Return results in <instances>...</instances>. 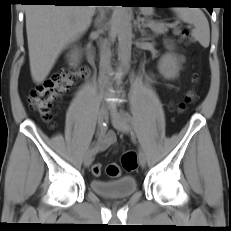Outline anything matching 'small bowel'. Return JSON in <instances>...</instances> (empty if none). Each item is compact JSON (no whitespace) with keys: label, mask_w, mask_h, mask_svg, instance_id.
I'll return each instance as SVG.
<instances>
[{"label":"small bowel","mask_w":231,"mask_h":231,"mask_svg":"<svg viewBox=\"0 0 231 231\" xmlns=\"http://www.w3.org/2000/svg\"><path fill=\"white\" fill-rule=\"evenodd\" d=\"M115 140L116 136L114 132L109 131L105 133L104 137L101 140H98L94 148L97 152L105 151L115 142Z\"/></svg>","instance_id":"1"}]
</instances>
